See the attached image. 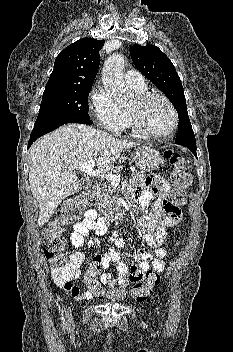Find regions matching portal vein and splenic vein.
I'll return each mask as SVG.
<instances>
[{"instance_id": "obj_1", "label": "portal vein and splenic vein", "mask_w": 233, "mask_h": 352, "mask_svg": "<svg viewBox=\"0 0 233 352\" xmlns=\"http://www.w3.org/2000/svg\"><path fill=\"white\" fill-rule=\"evenodd\" d=\"M95 166V162L94 161H88L85 163L80 164V166L78 167V170L86 173L87 175L91 176V177H100V178H105L108 181L111 182L112 185H118L120 183V175H116V174H100L97 171H94L93 168Z\"/></svg>"}]
</instances>
